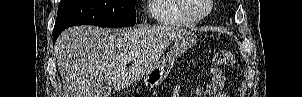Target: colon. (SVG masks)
<instances>
[{"instance_id": "obj_1", "label": "colon", "mask_w": 302, "mask_h": 97, "mask_svg": "<svg viewBox=\"0 0 302 97\" xmlns=\"http://www.w3.org/2000/svg\"><path fill=\"white\" fill-rule=\"evenodd\" d=\"M234 62V55L229 51H219L215 53L213 57V67L211 69L212 78L210 83L204 88V94L214 95L223 88L225 77L222 68L231 66Z\"/></svg>"}]
</instances>
